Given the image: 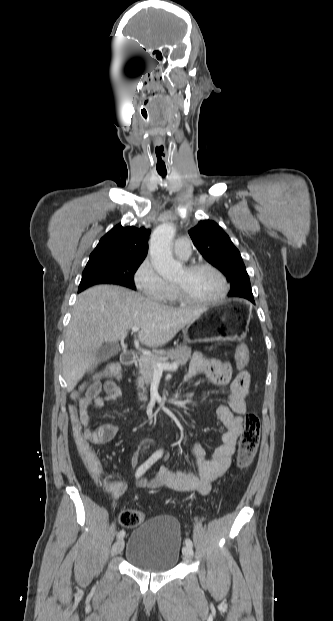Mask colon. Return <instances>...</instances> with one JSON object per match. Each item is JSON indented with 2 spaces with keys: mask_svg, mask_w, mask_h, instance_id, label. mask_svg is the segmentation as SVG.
<instances>
[{
  "mask_svg": "<svg viewBox=\"0 0 333 621\" xmlns=\"http://www.w3.org/2000/svg\"><path fill=\"white\" fill-rule=\"evenodd\" d=\"M249 360V351L245 344H240L236 352V362L238 372L244 370ZM121 377V368L116 363L108 364L102 372L94 379L99 377ZM70 422L73 433L74 443L84 467L95 482L111 492V483L107 482L104 476L103 468L99 463L95 452L88 444V440L83 433V427L78 417L75 407L70 408ZM260 441V421L256 414L248 413L245 417L244 428L239 440V450L237 464L240 469L248 468L256 455ZM145 519L144 514L135 509H127L120 513L119 523L126 528L135 527L141 524Z\"/></svg>",
  "mask_w": 333,
  "mask_h": 621,
  "instance_id": "1",
  "label": "colon"
}]
</instances>
